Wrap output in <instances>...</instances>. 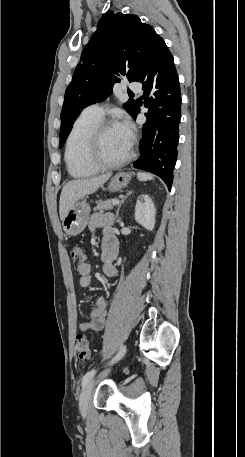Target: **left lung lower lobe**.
<instances>
[{
    "label": "left lung lower lobe",
    "mask_w": 245,
    "mask_h": 457,
    "mask_svg": "<svg viewBox=\"0 0 245 457\" xmlns=\"http://www.w3.org/2000/svg\"><path fill=\"white\" fill-rule=\"evenodd\" d=\"M137 82L143 84L148 111L140 142L141 154L133 166L158 175L170 190L179 143L181 94L174 59L164 41L152 51ZM138 104L130 113L134 119L140 110Z\"/></svg>",
    "instance_id": "left-lung-lower-lobe-1"
}]
</instances>
